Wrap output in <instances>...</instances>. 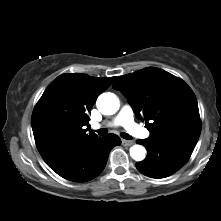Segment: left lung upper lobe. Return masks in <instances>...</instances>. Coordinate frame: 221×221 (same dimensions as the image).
<instances>
[{"label":"left lung upper lobe","mask_w":221,"mask_h":221,"mask_svg":"<svg viewBox=\"0 0 221 221\" xmlns=\"http://www.w3.org/2000/svg\"><path fill=\"white\" fill-rule=\"evenodd\" d=\"M113 88L145 120L150 139L199 138L201 121L196 97L180 78L155 67L119 76Z\"/></svg>","instance_id":"1"}]
</instances>
